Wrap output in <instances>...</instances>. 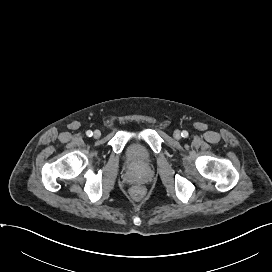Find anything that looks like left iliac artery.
I'll return each mask as SVG.
<instances>
[{"label": "left iliac artery", "mask_w": 272, "mask_h": 272, "mask_svg": "<svg viewBox=\"0 0 272 272\" xmlns=\"http://www.w3.org/2000/svg\"><path fill=\"white\" fill-rule=\"evenodd\" d=\"M181 136L184 137V138L188 137V132L184 130V131L181 133Z\"/></svg>", "instance_id": "obj_1"}]
</instances>
